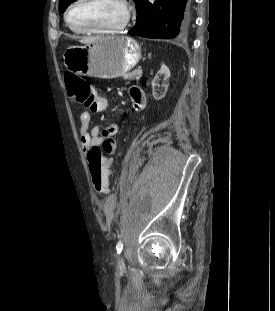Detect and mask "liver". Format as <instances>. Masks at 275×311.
I'll use <instances>...</instances> for the list:
<instances>
[{
	"instance_id": "obj_1",
	"label": "liver",
	"mask_w": 275,
	"mask_h": 311,
	"mask_svg": "<svg viewBox=\"0 0 275 311\" xmlns=\"http://www.w3.org/2000/svg\"><path fill=\"white\" fill-rule=\"evenodd\" d=\"M98 37H94V38H90V39H86V40H83L84 43H90L92 41H94L95 39H97Z\"/></svg>"
}]
</instances>
